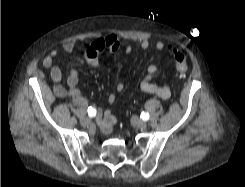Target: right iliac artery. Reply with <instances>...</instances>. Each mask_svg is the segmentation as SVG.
Listing matches in <instances>:
<instances>
[{
  "label": "right iliac artery",
  "mask_w": 245,
  "mask_h": 187,
  "mask_svg": "<svg viewBox=\"0 0 245 187\" xmlns=\"http://www.w3.org/2000/svg\"><path fill=\"white\" fill-rule=\"evenodd\" d=\"M88 114H89L90 117L95 116V114H96V109H95V108H92V107H89V108H88Z\"/></svg>",
  "instance_id": "82829eb1"
}]
</instances>
